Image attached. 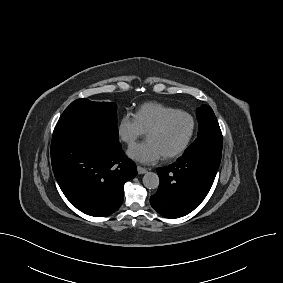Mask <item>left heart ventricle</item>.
<instances>
[{
  "label": "left heart ventricle",
  "mask_w": 283,
  "mask_h": 283,
  "mask_svg": "<svg viewBox=\"0 0 283 283\" xmlns=\"http://www.w3.org/2000/svg\"><path fill=\"white\" fill-rule=\"evenodd\" d=\"M191 129V122L185 116H177L171 119L159 132L152 133L147 137L161 151L162 155L177 150L186 140Z\"/></svg>",
  "instance_id": "1"
}]
</instances>
